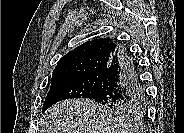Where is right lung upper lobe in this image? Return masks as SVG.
Masks as SVG:
<instances>
[{"label":"right lung upper lobe","mask_w":184,"mask_h":133,"mask_svg":"<svg viewBox=\"0 0 184 133\" xmlns=\"http://www.w3.org/2000/svg\"><path fill=\"white\" fill-rule=\"evenodd\" d=\"M116 47L117 43L109 37L85 42L58 61L51 82L62 78L104 73Z\"/></svg>","instance_id":"cb5924a9"}]
</instances>
